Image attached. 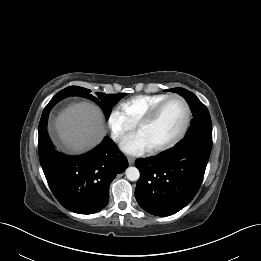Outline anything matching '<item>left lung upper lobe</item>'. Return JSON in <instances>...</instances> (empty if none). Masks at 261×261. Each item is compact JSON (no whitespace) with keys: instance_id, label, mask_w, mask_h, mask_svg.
I'll list each match as a JSON object with an SVG mask.
<instances>
[{"instance_id":"5c2ea615","label":"left lung upper lobe","mask_w":261,"mask_h":261,"mask_svg":"<svg viewBox=\"0 0 261 261\" xmlns=\"http://www.w3.org/2000/svg\"><path fill=\"white\" fill-rule=\"evenodd\" d=\"M166 91L176 92L182 95L188 102L193 114L191 125L185 137L193 135H206L212 137V123L207 107L196 97V95L184 88H172Z\"/></svg>"}]
</instances>
